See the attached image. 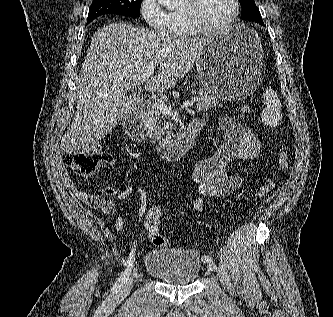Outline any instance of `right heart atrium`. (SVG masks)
Wrapping results in <instances>:
<instances>
[{"instance_id": "right-heart-atrium-1", "label": "right heart atrium", "mask_w": 333, "mask_h": 317, "mask_svg": "<svg viewBox=\"0 0 333 317\" xmlns=\"http://www.w3.org/2000/svg\"><path fill=\"white\" fill-rule=\"evenodd\" d=\"M139 9L143 19L153 30L161 33L171 31V13L164 9L158 0H141Z\"/></svg>"}]
</instances>
